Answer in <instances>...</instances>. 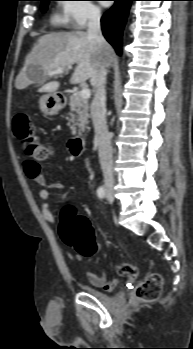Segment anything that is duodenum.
Listing matches in <instances>:
<instances>
[{"mask_svg":"<svg viewBox=\"0 0 193 349\" xmlns=\"http://www.w3.org/2000/svg\"><path fill=\"white\" fill-rule=\"evenodd\" d=\"M84 146H85V140L83 137L81 136L74 137L69 141V144H68L69 152L73 156H81L84 150Z\"/></svg>","mask_w":193,"mask_h":349,"instance_id":"410a0bca","label":"duodenum"}]
</instances>
